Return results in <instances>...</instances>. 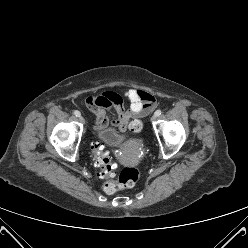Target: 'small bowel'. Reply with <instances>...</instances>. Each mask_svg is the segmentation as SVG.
Segmentation results:
<instances>
[{"instance_id":"obj_1","label":"small bowel","mask_w":248,"mask_h":248,"mask_svg":"<svg viewBox=\"0 0 248 248\" xmlns=\"http://www.w3.org/2000/svg\"><path fill=\"white\" fill-rule=\"evenodd\" d=\"M124 97L128 101L126 105L114 92H105L97 97L94 94L87 96L96 116L95 128L101 129L111 124L120 132H125L128 128L131 130V124L136 121L134 118L155 111L158 106L151 95L142 89H129L124 93ZM112 108L117 116L111 111Z\"/></svg>"}]
</instances>
